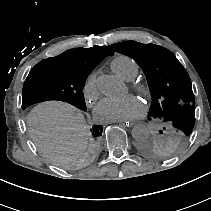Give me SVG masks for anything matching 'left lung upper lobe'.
<instances>
[{
  "label": "left lung upper lobe",
  "instance_id": "5c2ea615",
  "mask_svg": "<svg viewBox=\"0 0 211 211\" xmlns=\"http://www.w3.org/2000/svg\"><path fill=\"white\" fill-rule=\"evenodd\" d=\"M108 48L134 59L148 81L152 104L147 118L158 125L160 134L142 141L141 152L152 158L178 153L195 125V97L187 71L171 51L155 44L128 41Z\"/></svg>",
  "mask_w": 211,
  "mask_h": 211
}]
</instances>
